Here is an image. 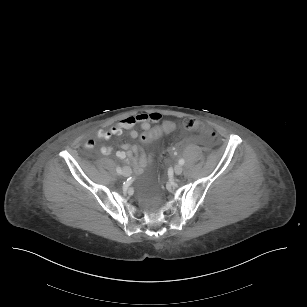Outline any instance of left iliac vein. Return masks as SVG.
<instances>
[{"label":"left iliac vein","mask_w":307,"mask_h":307,"mask_svg":"<svg viewBox=\"0 0 307 307\" xmlns=\"http://www.w3.org/2000/svg\"><path fill=\"white\" fill-rule=\"evenodd\" d=\"M174 172L176 175H180L183 172V167L180 164L176 165L174 167Z\"/></svg>","instance_id":"obj_1"}]
</instances>
